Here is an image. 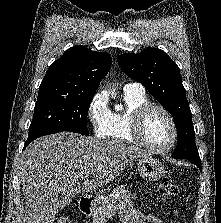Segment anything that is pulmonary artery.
<instances>
[{
    "mask_svg": "<svg viewBox=\"0 0 221 223\" xmlns=\"http://www.w3.org/2000/svg\"><path fill=\"white\" fill-rule=\"evenodd\" d=\"M124 92L127 91H144V88L141 84L136 82L126 83L123 87Z\"/></svg>",
    "mask_w": 221,
    "mask_h": 223,
    "instance_id": "pulmonary-artery-1",
    "label": "pulmonary artery"
}]
</instances>
